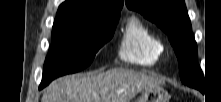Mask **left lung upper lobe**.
<instances>
[{
  "label": "left lung upper lobe",
  "instance_id": "5c2ea615",
  "mask_svg": "<svg viewBox=\"0 0 221 102\" xmlns=\"http://www.w3.org/2000/svg\"><path fill=\"white\" fill-rule=\"evenodd\" d=\"M126 5L168 34L178 58L181 81L202 91L204 77L197 63V46L184 0H126Z\"/></svg>",
  "mask_w": 221,
  "mask_h": 102
}]
</instances>
